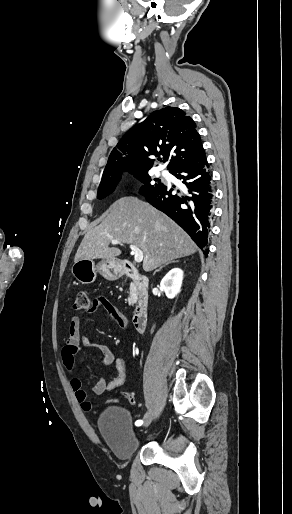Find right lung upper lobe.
Returning <instances> with one entry per match:
<instances>
[{"instance_id": "cb5924a9", "label": "right lung upper lobe", "mask_w": 292, "mask_h": 514, "mask_svg": "<svg viewBox=\"0 0 292 514\" xmlns=\"http://www.w3.org/2000/svg\"><path fill=\"white\" fill-rule=\"evenodd\" d=\"M205 154L196 124L177 107L156 110L131 128L112 150L102 180L148 172L154 163L169 161L170 172ZM101 180V181H102Z\"/></svg>"}]
</instances>
